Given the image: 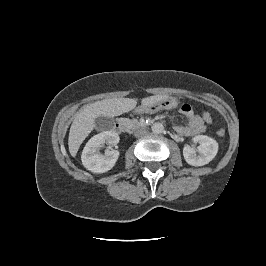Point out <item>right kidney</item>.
<instances>
[{"label":"right kidney","mask_w":266,"mask_h":266,"mask_svg":"<svg viewBox=\"0 0 266 266\" xmlns=\"http://www.w3.org/2000/svg\"><path fill=\"white\" fill-rule=\"evenodd\" d=\"M119 135L113 131H104L93 136L83 149L81 160L84 167L94 173H105L111 170L119 157V151L106 150L104 154L99 152L103 144L113 146L118 144Z\"/></svg>","instance_id":"right-kidney-1"}]
</instances>
